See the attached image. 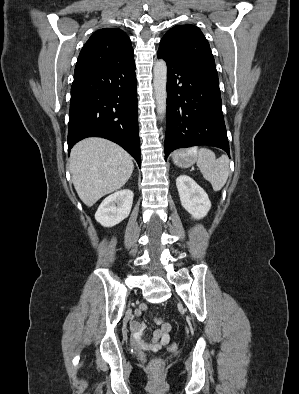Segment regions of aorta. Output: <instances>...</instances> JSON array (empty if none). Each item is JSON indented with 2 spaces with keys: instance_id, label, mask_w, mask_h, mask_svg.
I'll return each instance as SVG.
<instances>
[{
  "instance_id": "aorta-1",
  "label": "aorta",
  "mask_w": 299,
  "mask_h": 394,
  "mask_svg": "<svg viewBox=\"0 0 299 394\" xmlns=\"http://www.w3.org/2000/svg\"><path fill=\"white\" fill-rule=\"evenodd\" d=\"M153 74V86L157 105V113L160 119H163L166 112L167 100V65L163 59H159L155 62Z\"/></svg>"
}]
</instances>
